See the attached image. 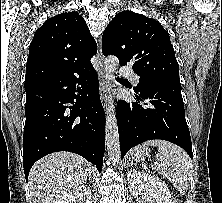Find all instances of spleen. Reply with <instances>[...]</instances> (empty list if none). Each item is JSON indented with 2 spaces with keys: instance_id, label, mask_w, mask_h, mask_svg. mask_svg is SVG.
Listing matches in <instances>:
<instances>
[{
  "instance_id": "1",
  "label": "spleen",
  "mask_w": 222,
  "mask_h": 203,
  "mask_svg": "<svg viewBox=\"0 0 222 203\" xmlns=\"http://www.w3.org/2000/svg\"><path fill=\"white\" fill-rule=\"evenodd\" d=\"M158 147L157 160L161 161L158 172L168 178L174 187L185 194L190 187L193 165L188 154L179 146L165 140H149L144 146Z\"/></svg>"
}]
</instances>
